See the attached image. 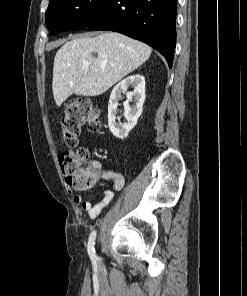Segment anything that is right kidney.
Returning a JSON list of instances; mask_svg holds the SVG:
<instances>
[{
    "label": "right kidney",
    "mask_w": 247,
    "mask_h": 296,
    "mask_svg": "<svg viewBox=\"0 0 247 296\" xmlns=\"http://www.w3.org/2000/svg\"><path fill=\"white\" fill-rule=\"evenodd\" d=\"M129 86L134 90L127 92ZM122 93L126 94L127 100L124 102L125 122H116L117 107ZM134 98V105L130 106L129 102ZM145 101V78L140 75H131L120 81L112 90L108 105V125L114 136L124 139L136 125L140 117Z\"/></svg>",
    "instance_id": "ca27d5eb"
}]
</instances>
